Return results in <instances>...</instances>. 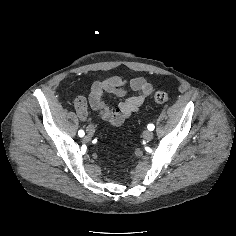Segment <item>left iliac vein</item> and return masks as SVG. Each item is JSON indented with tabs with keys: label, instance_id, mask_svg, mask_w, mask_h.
Masks as SVG:
<instances>
[{
	"label": "left iliac vein",
	"instance_id": "1",
	"mask_svg": "<svg viewBox=\"0 0 236 236\" xmlns=\"http://www.w3.org/2000/svg\"><path fill=\"white\" fill-rule=\"evenodd\" d=\"M153 136H154V134L151 131L146 130V131L143 132V138L145 140L149 141L153 138Z\"/></svg>",
	"mask_w": 236,
	"mask_h": 236
}]
</instances>
